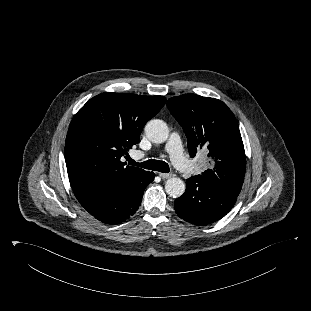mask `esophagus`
I'll list each match as a JSON object with an SVG mask.
<instances>
[{"instance_id":"esophagus-1","label":"esophagus","mask_w":311,"mask_h":311,"mask_svg":"<svg viewBox=\"0 0 311 311\" xmlns=\"http://www.w3.org/2000/svg\"><path fill=\"white\" fill-rule=\"evenodd\" d=\"M159 176H160L162 179H168V178L172 177L173 174H171V173H159Z\"/></svg>"}]
</instances>
